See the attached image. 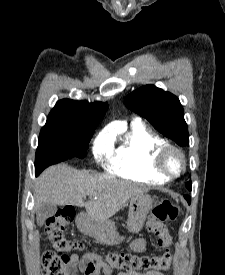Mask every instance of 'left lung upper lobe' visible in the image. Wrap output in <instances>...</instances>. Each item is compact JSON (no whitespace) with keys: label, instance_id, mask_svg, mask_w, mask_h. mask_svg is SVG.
<instances>
[{"label":"left lung upper lobe","instance_id":"obj_1","mask_svg":"<svg viewBox=\"0 0 225 275\" xmlns=\"http://www.w3.org/2000/svg\"><path fill=\"white\" fill-rule=\"evenodd\" d=\"M130 110L146 118L160 133L180 146L189 145L188 127L179 99L154 85H145L125 99ZM191 191V181L185 184Z\"/></svg>","mask_w":225,"mask_h":275}]
</instances>
